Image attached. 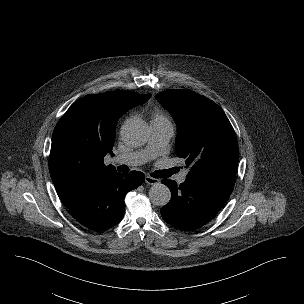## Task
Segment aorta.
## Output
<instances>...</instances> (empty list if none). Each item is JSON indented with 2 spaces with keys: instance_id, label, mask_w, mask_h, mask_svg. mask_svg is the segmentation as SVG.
<instances>
[{
  "instance_id": "obj_1",
  "label": "aorta",
  "mask_w": 304,
  "mask_h": 304,
  "mask_svg": "<svg viewBox=\"0 0 304 304\" xmlns=\"http://www.w3.org/2000/svg\"><path fill=\"white\" fill-rule=\"evenodd\" d=\"M147 125L138 119L127 121L121 129V136L128 146L138 147L143 145L148 138ZM150 201L156 206H165L171 199L170 189L162 184L155 183L149 190Z\"/></svg>"
}]
</instances>
